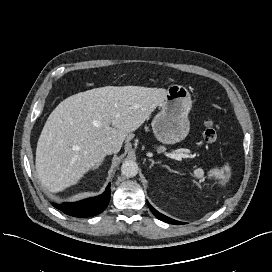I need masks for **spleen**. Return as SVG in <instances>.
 Segmentation results:
<instances>
[{
    "mask_svg": "<svg viewBox=\"0 0 272 272\" xmlns=\"http://www.w3.org/2000/svg\"><path fill=\"white\" fill-rule=\"evenodd\" d=\"M203 175L204 171L201 168H198L194 171V176L197 178H202ZM209 175L222 179L223 180L222 184L225 185V183L228 182L231 177V168L229 167L228 164H226L221 170L213 169L212 171H210Z\"/></svg>",
    "mask_w": 272,
    "mask_h": 272,
    "instance_id": "obj_1",
    "label": "spleen"
}]
</instances>
